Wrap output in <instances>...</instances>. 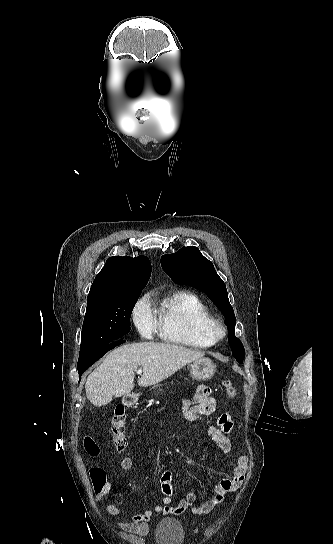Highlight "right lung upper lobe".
Instances as JSON below:
<instances>
[{"label": "right lung upper lobe", "mask_w": 333, "mask_h": 544, "mask_svg": "<svg viewBox=\"0 0 333 544\" xmlns=\"http://www.w3.org/2000/svg\"><path fill=\"white\" fill-rule=\"evenodd\" d=\"M150 275L151 264L145 256L136 258L128 256L110 257L95 277L87 302L142 291Z\"/></svg>", "instance_id": "1"}]
</instances>
